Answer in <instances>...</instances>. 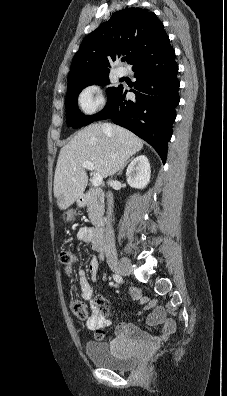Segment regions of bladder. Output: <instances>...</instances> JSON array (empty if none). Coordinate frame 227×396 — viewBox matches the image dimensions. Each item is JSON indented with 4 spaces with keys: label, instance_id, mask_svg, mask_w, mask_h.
<instances>
[{
    "label": "bladder",
    "instance_id": "bladder-1",
    "mask_svg": "<svg viewBox=\"0 0 227 396\" xmlns=\"http://www.w3.org/2000/svg\"><path fill=\"white\" fill-rule=\"evenodd\" d=\"M85 353L93 364L118 372L131 370L138 360L137 355L121 343L90 341L85 345Z\"/></svg>",
    "mask_w": 227,
    "mask_h": 396
}]
</instances>
